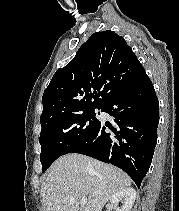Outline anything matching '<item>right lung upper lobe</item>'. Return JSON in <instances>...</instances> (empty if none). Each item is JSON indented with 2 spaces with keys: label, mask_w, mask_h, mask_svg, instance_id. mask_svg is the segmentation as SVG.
Segmentation results:
<instances>
[{
  "label": "right lung upper lobe",
  "mask_w": 179,
  "mask_h": 211,
  "mask_svg": "<svg viewBox=\"0 0 179 211\" xmlns=\"http://www.w3.org/2000/svg\"><path fill=\"white\" fill-rule=\"evenodd\" d=\"M144 72L123 37L110 30L94 33L45 89L42 128L64 115L104 108Z\"/></svg>",
  "instance_id": "right-lung-upper-lobe-1"
}]
</instances>
